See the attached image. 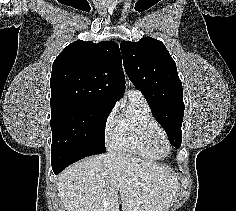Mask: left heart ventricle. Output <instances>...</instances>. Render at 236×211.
Masks as SVG:
<instances>
[{
    "label": "left heart ventricle",
    "mask_w": 236,
    "mask_h": 211,
    "mask_svg": "<svg viewBox=\"0 0 236 211\" xmlns=\"http://www.w3.org/2000/svg\"><path fill=\"white\" fill-rule=\"evenodd\" d=\"M157 147H158V149H160L162 151H166L167 150V145H166V143L162 139L158 140Z\"/></svg>",
    "instance_id": "left-heart-ventricle-1"
}]
</instances>
